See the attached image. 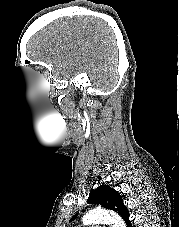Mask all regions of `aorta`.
Segmentation results:
<instances>
[{"label":"aorta","mask_w":179,"mask_h":227,"mask_svg":"<svg viewBox=\"0 0 179 227\" xmlns=\"http://www.w3.org/2000/svg\"><path fill=\"white\" fill-rule=\"evenodd\" d=\"M82 222L87 226L98 223H109L113 227H126L123 220L116 213L104 209L90 210L83 216Z\"/></svg>","instance_id":"762f6f07"}]
</instances>
